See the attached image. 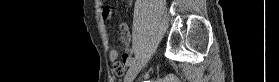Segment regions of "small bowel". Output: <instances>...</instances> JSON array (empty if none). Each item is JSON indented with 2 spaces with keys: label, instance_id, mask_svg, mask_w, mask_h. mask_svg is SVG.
I'll return each mask as SVG.
<instances>
[{
  "label": "small bowel",
  "instance_id": "1",
  "mask_svg": "<svg viewBox=\"0 0 279 82\" xmlns=\"http://www.w3.org/2000/svg\"><path fill=\"white\" fill-rule=\"evenodd\" d=\"M98 7L101 8V14L104 19H107L111 15V9L104 5L102 1H98ZM119 34L122 42L126 45V50L123 55V63L119 62V53L116 49H111L109 51V59L113 63V72L116 76H121L126 71L128 65L133 60V49L130 46V33L128 26L125 23H122L119 27ZM119 67L116 69V66Z\"/></svg>",
  "mask_w": 279,
  "mask_h": 82
}]
</instances>
